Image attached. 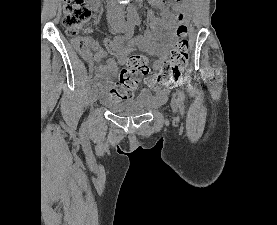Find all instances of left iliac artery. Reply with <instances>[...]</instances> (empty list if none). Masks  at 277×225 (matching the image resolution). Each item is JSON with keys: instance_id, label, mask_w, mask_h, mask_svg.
<instances>
[{"instance_id": "obj_1", "label": "left iliac artery", "mask_w": 277, "mask_h": 225, "mask_svg": "<svg viewBox=\"0 0 277 225\" xmlns=\"http://www.w3.org/2000/svg\"><path fill=\"white\" fill-rule=\"evenodd\" d=\"M134 22L137 24V25H140L141 21H140V18L137 17ZM184 100H185V94L183 91L179 90L178 91V101H179V104L181 106V108L183 109L184 108Z\"/></svg>"}]
</instances>
